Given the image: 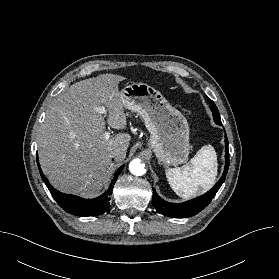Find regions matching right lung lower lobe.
Listing matches in <instances>:
<instances>
[{
  "label": "right lung lower lobe",
  "instance_id": "1",
  "mask_svg": "<svg viewBox=\"0 0 279 279\" xmlns=\"http://www.w3.org/2000/svg\"><path fill=\"white\" fill-rule=\"evenodd\" d=\"M36 159L40 175L44 183L46 184L47 188L49 189L50 193L52 194L58 205L62 207L64 211L77 216H95L101 215L109 209V195H111L113 185L115 184L117 177L121 173L124 165H122L114 174V178L109 186V189L105 193L94 199H83L74 195L61 193L55 188H53L48 182L45 175L42 173L38 161V155L36 156Z\"/></svg>",
  "mask_w": 279,
  "mask_h": 279
}]
</instances>
